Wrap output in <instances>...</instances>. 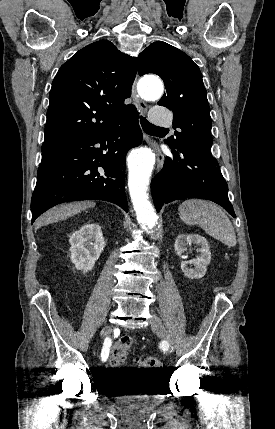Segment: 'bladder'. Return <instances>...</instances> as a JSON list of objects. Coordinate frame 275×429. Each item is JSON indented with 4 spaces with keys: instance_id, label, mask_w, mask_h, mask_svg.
Returning a JSON list of instances; mask_svg holds the SVG:
<instances>
[{
    "instance_id": "bladder-1",
    "label": "bladder",
    "mask_w": 275,
    "mask_h": 429,
    "mask_svg": "<svg viewBox=\"0 0 275 429\" xmlns=\"http://www.w3.org/2000/svg\"><path fill=\"white\" fill-rule=\"evenodd\" d=\"M105 398H116V403H147L158 391L154 377H106Z\"/></svg>"
}]
</instances>
